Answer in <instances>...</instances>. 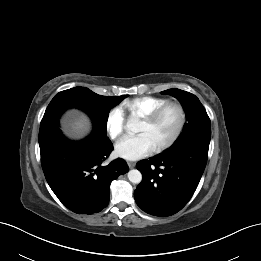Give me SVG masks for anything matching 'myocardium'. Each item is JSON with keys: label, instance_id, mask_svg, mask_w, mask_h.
<instances>
[{"label": "myocardium", "instance_id": "1", "mask_svg": "<svg viewBox=\"0 0 261 261\" xmlns=\"http://www.w3.org/2000/svg\"><path fill=\"white\" fill-rule=\"evenodd\" d=\"M169 109H174L178 114V123L177 126L172 133V135L161 144L157 145L153 148V152H161L170 148L182 135L186 123H187V114L185 108L178 102L168 101L165 104L161 105L157 109L153 110L148 115L140 118L141 122L146 124H154L157 122Z\"/></svg>", "mask_w": 261, "mask_h": 261}]
</instances>
